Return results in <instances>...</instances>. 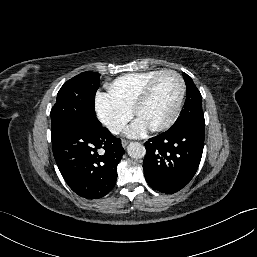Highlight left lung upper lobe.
<instances>
[{"label": "left lung upper lobe", "mask_w": 257, "mask_h": 257, "mask_svg": "<svg viewBox=\"0 0 257 257\" xmlns=\"http://www.w3.org/2000/svg\"><path fill=\"white\" fill-rule=\"evenodd\" d=\"M183 77L187 87L184 109L181 111L176 122L170 128H176L188 123L205 124L204 114L202 111V96L191 77L186 73H183Z\"/></svg>", "instance_id": "left-lung-upper-lobe-1"}]
</instances>
